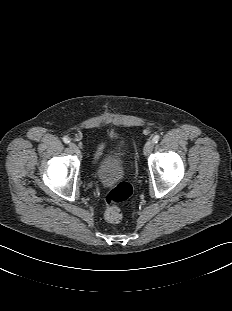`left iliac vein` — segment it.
<instances>
[{
  "instance_id": "1",
  "label": "left iliac vein",
  "mask_w": 232,
  "mask_h": 311,
  "mask_svg": "<svg viewBox=\"0 0 232 311\" xmlns=\"http://www.w3.org/2000/svg\"><path fill=\"white\" fill-rule=\"evenodd\" d=\"M153 146H154V142L148 141L144 146V154L148 155L152 151Z\"/></svg>"
}]
</instances>
